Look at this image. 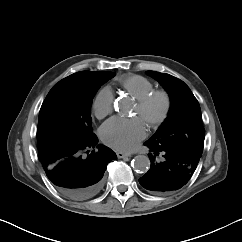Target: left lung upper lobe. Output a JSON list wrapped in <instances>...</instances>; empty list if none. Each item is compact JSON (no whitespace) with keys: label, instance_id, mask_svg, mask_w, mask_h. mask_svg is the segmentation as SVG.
Instances as JSON below:
<instances>
[{"label":"left lung upper lobe","instance_id":"left-lung-upper-lobe-1","mask_svg":"<svg viewBox=\"0 0 242 242\" xmlns=\"http://www.w3.org/2000/svg\"><path fill=\"white\" fill-rule=\"evenodd\" d=\"M164 87L170 96V110L164 123L147 141L156 146L179 148L202 156L205 130L201 109L189 87L169 74L147 71Z\"/></svg>","mask_w":242,"mask_h":242}]
</instances>
